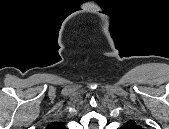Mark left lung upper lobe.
<instances>
[{
	"instance_id": "left-lung-upper-lobe-1",
	"label": "left lung upper lobe",
	"mask_w": 169,
	"mask_h": 129,
	"mask_svg": "<svg viewBox=\"0 0 169 129\" xmlns=\"http://www.w3.org/2000/svg\"><path fill=\"white\" fill-rule=\"evenodd\" d=\"M140 126L136 125L134 121H128L122 126V129H138Z\"/></svg>"
}]
</instances>
